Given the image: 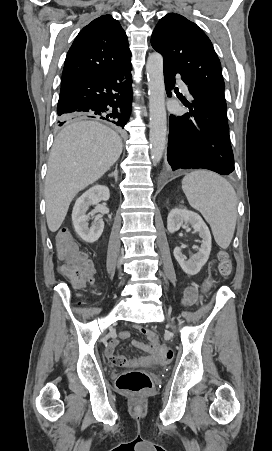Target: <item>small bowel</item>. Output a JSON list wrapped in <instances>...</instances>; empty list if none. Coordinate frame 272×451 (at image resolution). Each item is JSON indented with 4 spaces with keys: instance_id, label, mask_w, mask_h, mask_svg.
Listing matches in <instances>:
<instances>
[{
    "instance_id": "c3829d8e",
    "label": "small bowel",
    "mask_w": 272,
    "mask_h": 451,
    "mask_svg": "<svg viewBox=\"0 0 272 451\" xmlns=\"http://www.w3.org/2000/svg\"><path fill=\"white\" fill-rule=\"evenodd\" d=\"M212 268V264L209 266V269ZM199 299L198 296V292L197 289L195 287H189L184 295V304L187 306H191L197 303ZM140 331L147 337L153 335L155 336L152 332H150L149 330L145 329V328H140ZM121 336L123 338H128L130 336V334L128 332H123L121 334ZM119 342L116 339H111L107 342L106 344V348H105V355L108 359V352H115L116 348L118 347ZM133 346L136 347L137 349L143 350V351H147V344L141 342V341H133ZM120 367V366H119Z\"/></svg>"
}]
</instances>
